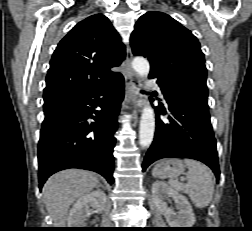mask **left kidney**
<instances>
[{"instance_id": "obj_1", "label": "left kidney", "mask_w": 252, "mask_h": 231, "mask_svg": "<svg viewBox=\"0 0 252 231\" xmlns=\"http://www.w3.org/2000/svg\"><path fill=\"white\" fill-rule=\"evenodd\" d=\"M152 197L157 209L165 216L171 228H191L195 223V215L188 199L165 183L157 181L152 184ZM171 199L176 204L177 212L168 207L167 203Z\"/></svg>"}]
</instances>
